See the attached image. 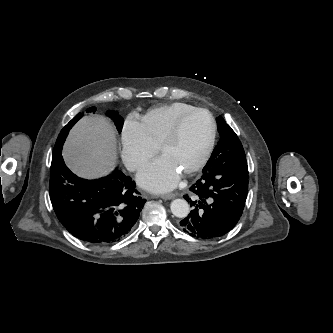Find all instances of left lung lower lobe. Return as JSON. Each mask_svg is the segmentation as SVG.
I'll use <instances>...</instances> for the list:
<instances>
[{
  "mask_svg": "<svg viewBox=\"0 0 333 333\" xmlns=\"http://www.w3.org/2000/svg\"><path fill=\"white\" fill-rule=\"evenodd\" d=\"M184 198L193 210L180 222L193 237L212 239L228 233L239 221L248 193L246 159L225 163L217 169L202 172Z\"/></svg>",
  "mask_w": 333,
  "mask_h": 333,
  "instance_id": "0a47b994",
  "label": "left lung lower lobe"
}]
</instances>
